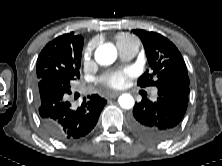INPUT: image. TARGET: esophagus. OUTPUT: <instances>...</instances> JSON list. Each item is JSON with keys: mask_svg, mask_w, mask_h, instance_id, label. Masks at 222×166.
Here are the masks:
<instances>
[{"mask_svg": "<svg viewBox=\"0 0 222 166\" xmlns=\"http://www.w3.org/2000/svg\"><path fill=\"white\" fill-rule=\"evenodd\" d=\"M122 92L121 91H116V92H111L110 94H108V98H115L118 95H120Z\"/></svg>", "mask_w": 222, "mask_h": 166, "instance_id": "34e87169", "label": "esophagus"}]
</instances>
